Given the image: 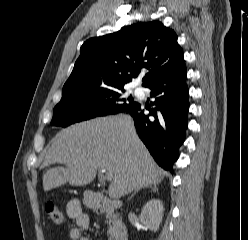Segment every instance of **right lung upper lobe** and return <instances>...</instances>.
I'll return each mask as SVG.
<instances>
[{
	"label": "right lung upper lobe",
	"mask_w": 248,
	"mask_h": 240,
	"mask_svg": "<svg viewBox=\"0 0 248 240\" xmlns=\"http://www.w3.org/2000/svg\"><path fill=\"white\" fill-rule=\"evenodd\" d=\"M174 30L160 21L138 22L88 39L63 89H121L143 68V86L172 77L186 68Z\"/></svg>",
	"instance_id": "cb5924a9"
}]
</instances>
